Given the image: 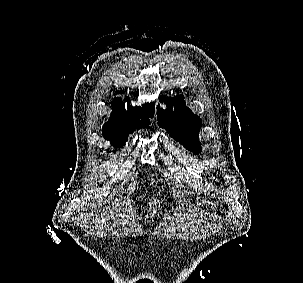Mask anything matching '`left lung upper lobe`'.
<instances>
[{
  "label": "left lung upper lobe",
  "instance_id": "obj_1",
  "mask_svg": "<svg viewBox=\"0 0 303 283\" xmlns=\"http://www.w3.org/2000/svg\"><path fill=\"white\" fill-rule=\"evenodd\" d=\"M169 107L166 110L157 107L158 125L167 129L170 136L177 140L186 149L194 154H199L202 150L198 141V133L202 120L185 106L183 95L171 99H160ZM174 107V110H173Z\"/></svg>",
  "mask_w": 303,
  "mask_h": 283
}]
</instances>
